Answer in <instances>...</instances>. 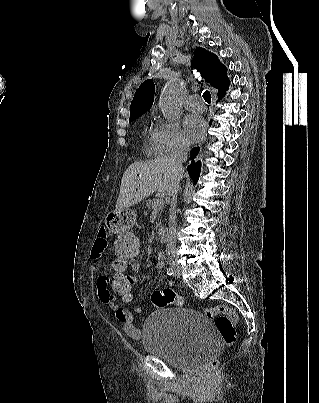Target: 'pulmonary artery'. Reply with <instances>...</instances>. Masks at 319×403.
<instances>
[{
  "label": "pulmonary artery",
  "instance_id": "obj_1",
  "mask_svg": "<svg viewBox=\"0 0 319 403\" xmlns=\"http://www.w3.org/2000/svg\"><path fill=\"white\" fill-rule=\"evenodd\" d=\"M186 106L192 111H203L205 108L203 99L196 94L190 95L186 100Z\"/></svg>",
  "mask_w": 319,
  "mask_h": 403
}]
</instances>
